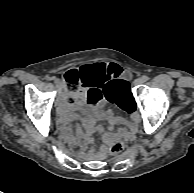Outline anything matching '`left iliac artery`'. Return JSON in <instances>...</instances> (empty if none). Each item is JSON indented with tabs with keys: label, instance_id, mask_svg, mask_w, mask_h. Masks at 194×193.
<instances>
[{
	"label": "left iliac artery",
	"instance_id": "left-iliac-artery-1",
	"mask_svg": "<svg viewBox=\"0 0 194 193\" xmlns=\"http://www.w3.org/2000/svg\"><path fill=\"white\" fill-rule=\"evenodd\" d=\"M148 79H149L148 76H146V75L142 76L143 82H146Z\"/></svg>",
	"mask_w": 194,
	"mask_h": 193
}]
</instances>
